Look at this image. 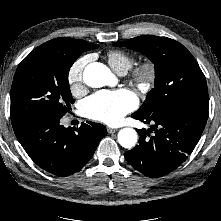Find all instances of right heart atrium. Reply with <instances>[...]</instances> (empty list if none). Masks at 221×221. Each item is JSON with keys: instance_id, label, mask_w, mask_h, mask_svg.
<instances>
[{"instance_id": "obj_1", "label": "right heart atrium", "mask_w": 221, "mask_h": 221, "mask_svg": "<svg viewBox=\"0 0 221 221\" xmlns=\"http://www.w3.org/2000/svg\"><path fill=\"white\" fill-rule=\"evenodd\" d=\"M87 63L86 57L77 59L69 68L67 81L72 94L79 95L84 88L83 72Z\"/></svg>"}]
</instances>
